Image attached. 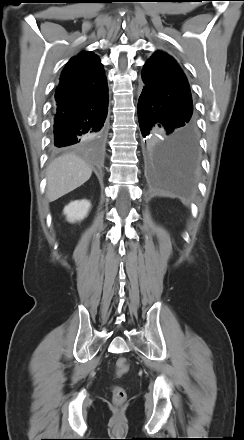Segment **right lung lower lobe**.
I'll return each mask as SVG.
<instances>
[{
	"mask_svg": "<svg viewBox=\"0 0 244 440\" xmlns=\"http://www.w3.org/2000/svg\"><path fill=\"white\" fill-rule=\"evenodd\" d=\"M108 92L82 106L54 109V146L65 147L102 138L106 128Z\"/></svg>",
	"mask_w": 244,
	"mask_h": 440,
	"instance_id": "obj_1",
	"label": "right lung lower lobe"
}]
</instances>
